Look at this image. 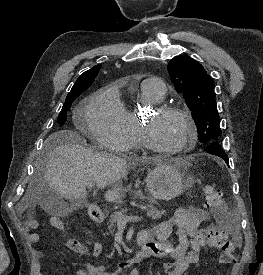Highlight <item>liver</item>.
Returning a JSON list of instances; mask_svg holds the SVG:
<instances>
[{
	"label": "liver",
	"mask_w": 263,
	"mask_h": 275,
	"mask_svg": "<svg viewBox=\"0 0 263 275\" xmlns=\"http://www.w3.org/2000/svg\"><path fill=\"white\" fill-rule=\"evenodd\" d=\"M81 136L73 130L54 133L47 144L50 150L44 170V181L48 188L57 191L62 197L73 200L87 194L89 183L97 188L110 186L105 200L117 201L124 195L117 183L127 171L124 159L105 152H94L81 144ZM179 164L183 161H177ZM38 195L32 192V186L22 199V204H34Z\"/></svg>",
	"instance_id": "obj_1"
}]
</instances>
